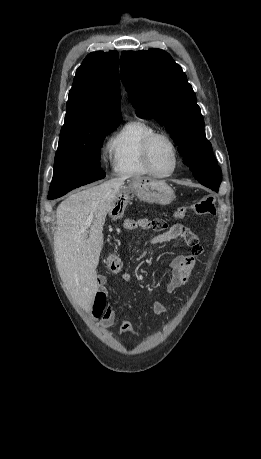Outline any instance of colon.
<instances>
[{"mask_svg":"<svg viewBox=\"0 0 261 459\" xmlns=\"http://www.w3.org/2000/svg\"><path fill=\"white\" fill-rule=\"evenodd\" d=\"M215 212V198L207 194L201 197L195 204L189 207H178L175 210V216L178 218H187L190 215L204 216L211 215ZM150 227L155 231H164L167 229V223L162 219H153L149 222ZM106 268L111 273H118L123 266L121 258L114 253L106 257ZM104 303L102 298H97L93 304V314L98 317L103 312Z\"/></svg>","mask_w":261,"mask_h":459,"instance_id":"5ec220e1","label":"colon"}]
</instances>
